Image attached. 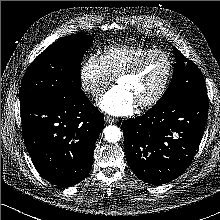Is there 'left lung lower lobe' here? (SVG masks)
Returning <instances> with one entry per match:
<instances>
[{
	"label": "left lung lower lobe",
	"instance_id": "left-lung-lower-lobe-1",
	"mask_svg": "<svg viewBox=\"0 0 220 220\" xmlns=\"http://www.w3.org/2000/svg\"><path fill=\"white\" fill-rule=\"evenodd\" d=\"M208 117V95L152 107L122 123L125 153L142 181L160 185L179 177L190 165Z\"/></svg>",
	"mask_w": 220,
	"mask_h": 220
}]
</instances>
